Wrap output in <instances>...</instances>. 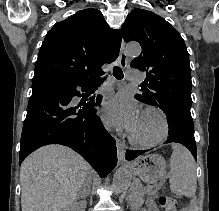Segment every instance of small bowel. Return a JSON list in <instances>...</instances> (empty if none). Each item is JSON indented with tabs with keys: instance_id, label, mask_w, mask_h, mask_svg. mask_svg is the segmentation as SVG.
I'll return each mask as SVG.
<instances>
[{
	"instance_id": "obj_1",
	"label": "small bowel",
	"mask_w": 219,
	"mask_h": 211,
	"mask_svg": "<svg viewBox=\"0 0 219 211\" xmlns=\"http://www.w3.org/2000/svg\"><path fill=\"white\" fill-rule=\"evenodd\" d=\"M148 209H149V211H158L155 204L153 203V201H149ZM183 211H192V210L189 208H186Z\"/></svg>"
}]
</instances>
